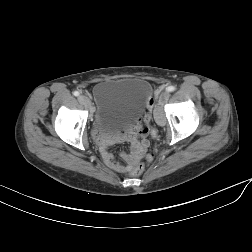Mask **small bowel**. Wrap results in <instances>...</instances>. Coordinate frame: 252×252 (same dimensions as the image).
Instances as JSON below:
<instances>
[{
    "mask_svg": "<svg viewBox=\"0 0 252 252\" xmlns=\"http://www.w3.org/2000/svg\"><path fill=\"white\" fill-rule=\"evenodd\" d=\"M152 132L153 130L150 128L149 124L146 123L145 120L143 122L141 117H137L135 122L129 125L121 135V139L127 140L131 146L130 153H121L123 163L115 161L112 155L107 151V147L112 143V141H107L104 144L103 158L107 166L112 170L121 173L129 171L145 156L149 146L148 137Z\"/></svg>",
    "mask_w": 252,
    "mask_h": 252,
    "instance_id": "c3829d8e",
    "label": "small bowel"
}]
</instances>
